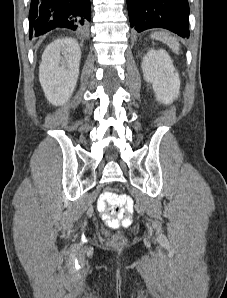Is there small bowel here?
<instances>
[{"mask_svg":"<svg viewBox=\"0 0 227 298\" xmlns=\"http://www.w3.org/2000/svg\"><path fill=\"white\" fill-rule=\"evenodd\" d=\"M99 211L103 214V217L106 218V215L102 212V210L98 207ZM119 217L117 219V225L121 222L124 225L129 224L130 220L126 217L124 210L118 211Z\"/></svg>","mask_w":227,"mask_h":298,"instance_id":"1","label":"small bowel"}]
</instances>
